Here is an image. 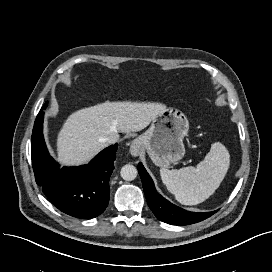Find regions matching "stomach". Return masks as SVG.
Instances as JSON below:
<instances>
[{
  "label": "stomach",
  "instance_id": "stomach-1",
  "mask_svg": "<svg viewBox=\"0 0 272 272\" xmlns=\"http://www.w3.org/2000/svg\"><path fill=\"white\" fill-rule=\"evenodd\" d=\"M188 131L189 122L184 113L168 108L153 119L150 127L135 140V145L146 151L155 165L168 167L183 158V139Z\"/></svg>",
  "mask_w": 272,
  "mask_h": 272
}]
</instances>
